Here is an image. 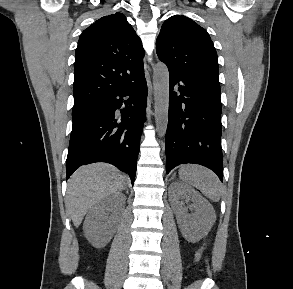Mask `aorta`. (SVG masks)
<instances>
[{"label":"aorta","instance_id":"obj_1","mask_svg":"<svg viewBox=\"0 0 293 289\" xmlns=\"http://www.w3.org/2000/svg\"><path fill=\"white\" fill-rule=\"evenodd\" d=\"M155 124L158 135L166 134L169 107V72L163 63H158L153 73Z\"/></svg>","mask_w":293,"mask_h":289}]
</instances>
